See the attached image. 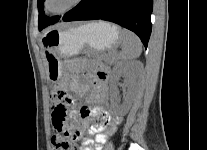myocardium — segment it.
Returning a JSON list of instances; mask_svg holds the SVG:
<instances>
[{"mask_svg":"<svg viewBox=\"0 0 207 150\" xmlns=\"http://www.w3.org/2000/svg\"><path fill=\"white\" fill-rule=\"evenodd\" d=\"M82 2H83V0H74L68 7L64 8V9H62L60 11H52V10H50V8H49V0H45L44 1V6H45V9H46V11L48 13L54 14V15H62V14H65V13L69 12L70 10L76 8Z\"/></svg>","mask_w":207,"mask_h":150,"instance_id":"f54148a6","label":"myocardium"}]
</instances>
